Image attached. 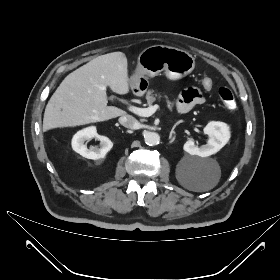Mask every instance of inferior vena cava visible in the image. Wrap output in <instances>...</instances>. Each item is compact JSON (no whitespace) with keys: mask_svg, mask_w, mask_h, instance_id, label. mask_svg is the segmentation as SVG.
Instances as JSON below:
<instances>
[{"mask_svg":"<svg viewBox=\"0 0 280 280\" xmlns=\"http://www.w3.org/2000/svg\"><path fill=\"white\" fill-rule=\"evenodd\" d=\"M119 122L121 125H123L126 128H130V129L139 128L138 120L131 115H124V116L120 117Z\"/></svg>","mask_w":280,"mask_h":280,"instance_id":"602c4592","label":"inferior vena cava"}]
</instances>
